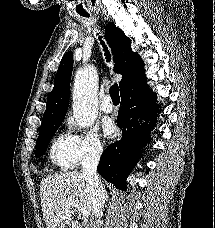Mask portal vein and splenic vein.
I'll return each mask as SVG.
<instances>
[{
	"label": "portal vein and splenic vein",
	"instance_id": "portal-vein-and-splenic-vein-1",
	"mask_svg": "<svg viewBox=\"0 0 215 228\" xmlns=\"http://www.w3.org/2000/svg\"><path fill=\"white\" fill-rule=\"evenodd\" d=\"M65 204H67V206H69V208H75V210H77L79 216H81V218H88L87 216V210H84L83 206H80V204H77V202H74V200H72V198H68V200H66Z\"/></svg>",
	"mask_w": 215,
	"mask_h": 228
}]
</instances>
